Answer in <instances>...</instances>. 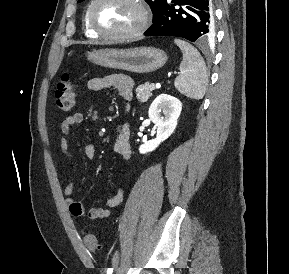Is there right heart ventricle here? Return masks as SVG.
<instances>
[{
    "mask_svg": "<svg viewBox=\"0 0 289 274\" xmlns=\"http://www.w3.org/2000/svg\"><path fill=\"white\" fill-rule=\"evenodd\" d=\"M83 28L87 36L96 38L98 35L90 28L88 21H87V10L85 11L83 17Z\"/></svg>",
    "mask_w": 289,
    "mask_h": 274,
    "instance_id": "right-heart-ventricle-1",
    "label": "right heart ventricle"
}]
</instances>
